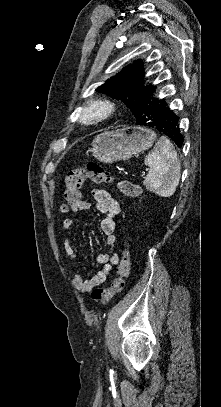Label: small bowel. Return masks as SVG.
<instances>
[{"mask_svg":"<svg viewBox=\"0 0 221 407\" xmlns=\"http://www.w3.org/2000/svg\"><path fill=\"white\" fill-rule=\"evenodd\" d=\"M92 195L95 200L96 211L104 215L101 221V229L105 235L106 243L112 246L117 240L115 228L116 219L120 212V204L107 191L102 189H94ZM90 208L91 203L89 201L81 200L77 205L71 207V211L77 213ZM62 227L66 231H71L74 228V221L71 218H65ZM63 247L69 259L72 262H77L79 256L73 241L69 237L63 239ZM97 262L101 265V268L90 278H83L79 270L71 274V283L77 291L89 292L104 283L110 275L113 265L117 263V257L115 255H101L97 258Z\"/></svg>","mask_w":221,"mask_h":407,"instance_id":"1","label":"small bowel"}]
</instances>
